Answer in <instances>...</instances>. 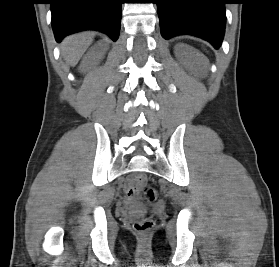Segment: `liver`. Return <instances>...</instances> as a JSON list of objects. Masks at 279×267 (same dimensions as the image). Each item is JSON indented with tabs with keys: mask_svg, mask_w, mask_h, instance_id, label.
Returning a JSON list of instances; mask_svg holds the SVG:
<instances>
[{
	"mask_svg": "<svg viewBox=\"0 0 279 267\" xmlns=\"http://www.w3.org/2000/svg\"><path fill=\"white\" fill-rule=\"evenodd\" d=\"M93 36L92 32H82L68 36L63 40L60 46L61 53L71 66H75L81 59L91 45Z\"/></svg>",
	"mask_w": 279,
	"mask_h": 267,
	"instance_id": "obj_1",
	"label": "liver"
}]
</instances>
